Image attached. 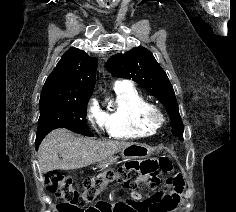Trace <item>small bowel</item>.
Returning a JSON list of instances; mask_svg holds the SVG:
<instances>
[{
  "label": "small bowel",
  "mask_w": 236,
  "mask_h": 212,
  "mask_svg": "<svg viewBox=\"0 0 236 212\" xmlns=\"http://www.w3.org/2000/svg\"><path fill=\"white\" fill-rule=\"evenodd\" d=\"M169 173L170 170H164ZM174 190L169 193L163 191L155 192L146 197H142L136 190L141 191L137 183L129 185H119V195L130 198H117L120 205H108L110 199H95V204L89 205V209H83L82 212H173L179 204L182 193V182L178 176L173 179ZM140 183H146V180H140ZM116 197V194H113Z\"/></svg>",
  "instance_id": "obj_1"
}]
</instances>
